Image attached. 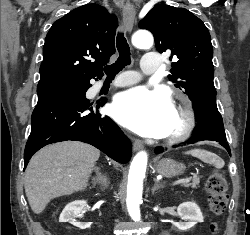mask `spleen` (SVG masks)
Listing matches in <instances>:
<instances>
[{
  "label": "spleen",
  "instance_id": "1",
  "mask_svg": "<svg viewBox=\"0 0 250 235\" xmlns=\"http://www.w3.org/2000/svg\"><path fill=\"white\" fill-rule=\"evenodd\" d=\"M187 153L199 158L203 162L213 164L216 168H222L225 165L224 161L219 156L205 150L194 149Z\"/></svg>",
  "mask_w": 250,
  "mask_h": 235
}]
</instances>
